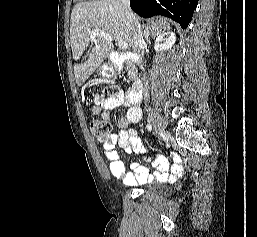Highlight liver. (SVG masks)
Masks as SVG:
<instances>
[{
    "mask_svg": "<svg viewBox=\"0 0 257 237\" xmlns=\"http://www.w3.org/2000/svg\"><path fill=\"white\" fill-rule=\"evenodd\" d=\"M142 33L162 34L170 29L164 18L148 20L140 25ZM100 29L108 33L114 41H124L133 47L134 30L125 19L120 0H100L97 2H79L71 13L70 42L75 63L74 74L78 86H81L113 51L112 41L96 37L94 46L84 62H80L91 41V31Z\"/></svg>",
    "mask_w": 257,
    "mask_h": 237,
    "instance_id": "6515ba94",
    "label": "liver"
}]
</instances>
